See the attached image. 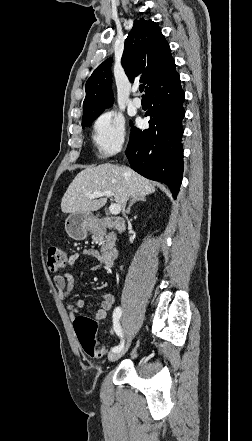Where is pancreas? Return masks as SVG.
I'll list each match as a JSON object with an SVG mask.
<instances>
[{"instance_id": "1", "label": "pancreas", "mask_w": 252, "mask_h": 441, "mask_svg": "<svg viewBox=\"0 0 252 441\" xmlns=\"http://www.w3.org/2000/svg\"><path fill=\"white\" fill-rule=\"evenodd\" d=\"M106 229L103 227L101 230V233L95 234L93 236L94 241H98L101 244V253L105 254L109 249H111L114 246L116 235L114 232L109 233L108 235L105 234ZM103 236H105V239L103 240Z\"/></svg>"}]
</instances>
